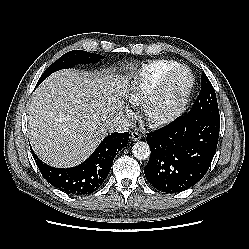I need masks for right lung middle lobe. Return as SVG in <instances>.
<instances>
[{
  "label": "right lung middle lobe",
  "instance_id": "obj_1",
  "mask_svg": "<svg viewBox=\"0 0 249 249\" xmlns=\"http://www.w3.org/2000/svg\"><path fill=\"white\" fill-rule=\"evenodd\" d=\"M103 56L99 54L89 53L83 50H73L70 51L63 56H61L57 61H55L52 65H50L46 71L40 77L38 84H40L45 78H47L53 72L65 69L72 68L76 64H89V63H97Z\"/></svg>",
  "mask_w": 249,
  "mask_h": 249
}]
</instances>
